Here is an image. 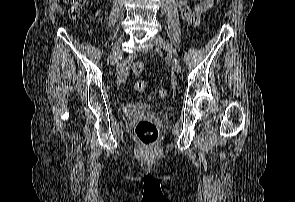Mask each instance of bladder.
Masks as SVG:
<instances>
[{
	"label": "bladder",
	"instance_id": "bladder-1",
	"mask_svg": "<svg viewBox=\"0 0 295 202\" xmlns=\"http://www.w3.org/2000/svg\"><path fill=\"white\" fill-rule=\"evenodd\" d=\"M147 107H149V105L147 104H136V103L126 104L123 107V113L126 115H131L137 112L138 110L142 108H147Z\"/></svg>",
	"mask_w": 295,
	"mask_h": 202
}]
</instances>
